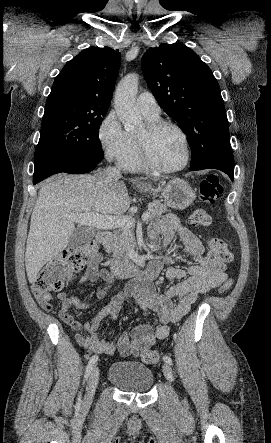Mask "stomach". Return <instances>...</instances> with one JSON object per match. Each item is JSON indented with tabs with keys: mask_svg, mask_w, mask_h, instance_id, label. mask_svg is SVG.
Returning <instances> with one entry per match:
<instances>
[{
	"mask_svg": "<svg viewBox=\"0 0 271 443\" xmlns=\"http://www.w3.org/2000/svg\"><path fill=\"white\" fill-rule=\"evenodd\" d=\"M141 192H156L153 190L151 184H141L137 186ZM162 192L165 204L170 206V208H175V210H186L191 204H193L196 194L189 186L188 182L184 180H170L168 184L158 188Z\"/></svg>",
	"mask_w": 271,
	"mask_h": 443,
	"instance_id": "stomach-1",
	"label": "stomach"
}]
</instances>
